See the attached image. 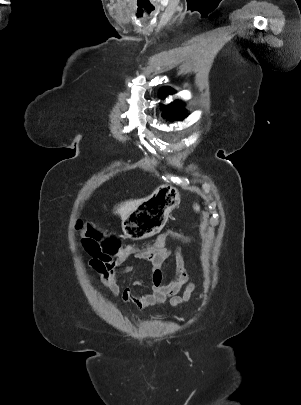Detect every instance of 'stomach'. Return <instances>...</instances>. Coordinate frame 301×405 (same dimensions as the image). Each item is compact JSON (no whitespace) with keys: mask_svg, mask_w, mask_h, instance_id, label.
<instances>
[{"mask_svg":"<svg viewBox=\"0 0 301 405\" xmlns=\"http://www.w3.org/2000/svg\"><path fill=\"white\" fill-rule=\"evenodd\" d=\"M180 204L178 190L170 185L159 186L122 222L127 238L140 240L155 235L166 223L170 212Z\"/></svg>","mask_w":301,"mask_h":405,"instance_id":"obj_1","label":"stomach"}]
</instances>
